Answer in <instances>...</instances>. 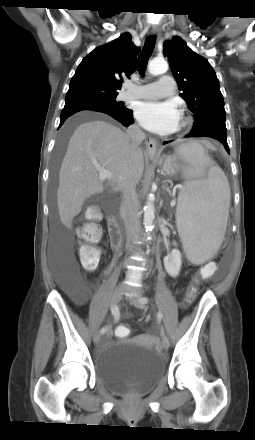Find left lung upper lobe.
I'll list each match as a JSON object with an SVG mask.
<instances>
[{
    "mask_svg": "<svg viewBox=\"0 0 255 440\" xmlns=\"http://www.w3.org/2000/svg\"><path fill=\"white\" fill-rule=\"evenodd\" d=\"M163 53L187 102L195 122L193 131L205 128L226 130L224 99L219 80L209 62L193 52L180 37L164 42Z\"/></svg>",
    "mask_w": 255,
    "mask_h": 440,
    "instance_id": "obj_1",
    "label": "left lung upper lobe"
}]
</instances>
